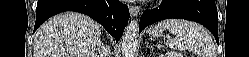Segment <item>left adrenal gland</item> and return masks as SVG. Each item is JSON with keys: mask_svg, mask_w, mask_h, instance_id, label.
I'll use <instances>...</instances> for the list:
<instances>
[{"mask_svg": "<svg viewBox=\"0 0 249 57\" xmlns=\"http://www.w3.org/2000/svg\"><path fill=\"white\" fill-rule=\"evenodd\" d=\"M156 47H158V48H159V47H161V45H156Z\"/></svg>", "mask_w": 249, "mask_h": 57, "instance_id": "obj_1", "label": "left adrenal gland"}]
</instances>
